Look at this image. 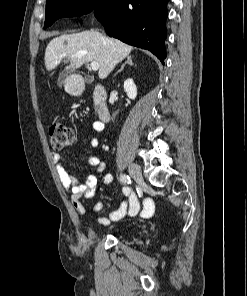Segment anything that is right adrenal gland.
<instances>
[{
	"mask_svg": "<svg viewBox=\"0 0 247 296\" xmlns=\"http://www.w3.org/2000/svg\"><path fill=\"white\" fill-rule=\"evenodd\" d=\"M126 64H129V65H131V66L134 65L133 62H132V57H131V56H128V57H127V61H126L124 64H122L120 70H118V71L115 73V75H117L119 72L123 71V69H124V67H125Z\"/></svg>",
	"mask_w": 247,
	"mask_h": 296,
	"instance_id": "obj_1",
	"label": "right adrenal gland"
}]
</instances>
